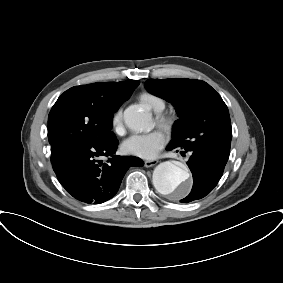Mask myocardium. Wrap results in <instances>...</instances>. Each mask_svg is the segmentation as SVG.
<instances>
[{
    "label": "myocardium",
    "instance_id": "obj_1",
    "mask_svg": "<svg viewBox=\"0 0 283 283\" xmlns=\"http://www.w3.org/2000/svg\"><path fill=\"white\" fill-rule=\"evenodd\" d=\"M155 121L156 124L167 133L172 132L176 124L175 116L168 112L158 113L155 117Z\"/></svg>",
    "mask_w": 283,
    "mask_h": 283
}]
</instances>
